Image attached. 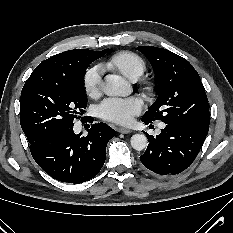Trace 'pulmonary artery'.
Instances as JSON below:
<instances>
[{
    "label": "pulmonary artery",
    "instance_id": "pulmonary-artery-1",
    "mask_svg": "<svg viewBox=\"0 0 233 233\" xmlns=\"http://www.w3.org/2000/svg\"><path fill=\"white\" fill-rule=\"evenodd\" d=\"M165 127V124H160V129L164 128Z\"/></svg>",
    "mask_w": 233,
    "mask_h": 233
}]
</instances>
